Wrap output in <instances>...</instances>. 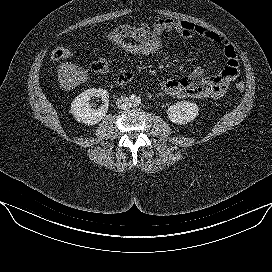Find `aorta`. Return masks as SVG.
Returning a JSON list of instances; mask_svg holds the SVG:
<instances>
[{
  "label": "aorta",
  "mask_w": 272,
  "mask_h": 272,
  "mask_svg": "<svg viewBox=\"0 0 272 272\" xmlns=\"http://www.w3.org/2000/svg\"><path fill=\"white\" fill-rule=\"evenodd\" d=\"M130 101L133 106H137L141 103V99L137 95H131Z\"/></svg>",
  "instance_id": "762f6f07"
}]
</instances>
